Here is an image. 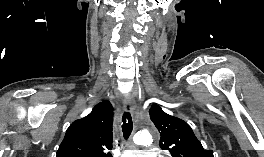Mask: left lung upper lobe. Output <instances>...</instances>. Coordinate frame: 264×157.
I'll use <instances>...</instances> for the list:
<instances>
[{
  "mask_svg": "<svg viewBox=\"0 0 264 157\" xmlns=\"http://www.w3.org/2000/svg\"><path fill=\"white\" fill-rule=\"evenodd\" d=\"M149 113L160 132L161 148L170 151L172 157H214L212 150L203 149L185 121L166 114L158 105H153Z\"/></svg>",
  "mask_w": 264,
  "mask_h": 157,
  "instance_id": "1",
  "label": "left lung upper lobe"
}]
</instances>
